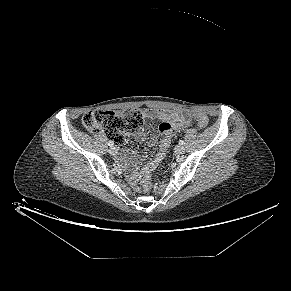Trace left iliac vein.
Listing matches in <instances>:
<instances>
[{"label":"left iliac vein","instance_id":"4c4485c4","mask_svg":"<svg viewBox=\"0 0 291 291\" xmlns=\"http://www.w3.org/2000/svg\"><path fill=\"white\" fill-rule=\"evenodd\" d=\"M175 152H176V154L181 155V154H183L185 152V148L183 146H181V145H178L175 148Z\"/></svg>","mask_w":291,"mask_h":291}]
</instances>
